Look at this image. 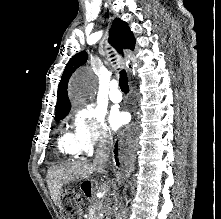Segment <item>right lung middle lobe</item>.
<instances>
[{"mask_svg": "<svg viewBox=\"0 0 221 219\" xmlns=\"http://www.w3.org/2000/svg\"><path fill=\"white\" fill-rule=\"evenodd\" d=\"M68 112H69V110L66 111L65 113L61 114V115L56 116L55 119L60 120V119L64 118L68 114Z\"/></svg>", "mask_w": 221, "mask_h": 219, "instance_id": "dd1d6c3e", "label": "right lung middle lobe"}]
</instances>
